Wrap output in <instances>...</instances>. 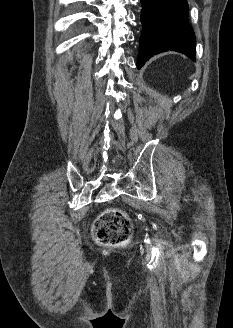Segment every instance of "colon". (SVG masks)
I'll list each match as a JSON object with an SVG mask.
<instances>
[{
  "mask_svg": "<svg viewBox=\"0 0 233 328\" xmlns=\"http://www.w3.org/2000/svg\"><path fill=\"white\" fill-rule=\"evenodd\" d=\"M132 235V222L129 216L117 208H109L97 218L93 236L103 246H119Z\"/></svg>",
  "mask_w": 233,
  "mask_h": 328,
  "instance_id": "obj_1",
  "label": "colon"
}]
</instances>
